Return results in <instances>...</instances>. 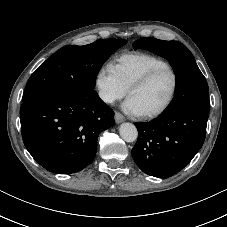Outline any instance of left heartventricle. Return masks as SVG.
<instances>
[{"label":"left heart ventricle","mask_w":227,"mask_h":227,"mask_svg":"<svg viewBox=\"0 0 227 227\" xmlns=\"http://www.w3.org/2000/svg\"><path fill=\"white\" fill-rule=\"evenodd\" d=\"M173 87V77L168 70L157 74L148 84L134 90L130 97L136 102L142 114L160 108L168 99Z\"/></svg>","instance_id":"obj_1"}]
</instances>
